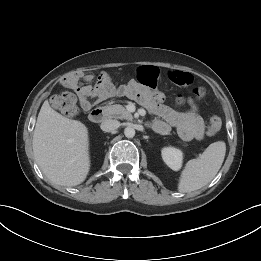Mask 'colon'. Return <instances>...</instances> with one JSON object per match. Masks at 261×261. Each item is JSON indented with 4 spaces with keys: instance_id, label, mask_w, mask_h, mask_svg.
I'll return each instance as SVG.
<instances>
[{
    "instance_id": "colon-1",
    "label": "colon",
    "mask_w": 261,
    "mask_h": 261,
    "mask_svg": "<svg viewBox=\"0 0 261 261\" xmlns=\"http://www.w3.org/2000/svg\"><path fill=\"white\" fill-rule=\"evenodd\" d=\"M101 78V76H99ZM204 95L203 88H196L194 90V96L196 98H202ZM179 103H185V99L178 98ZM52 106L57 109L61 114L72 117L77 113L76 99L74 95L69 91H62L52 98ZM222 126V121L219 116L213 115L208 120L207 131L210 135L216 134Z\"/></svg>"
}]
</instances>
